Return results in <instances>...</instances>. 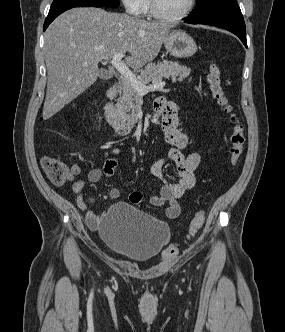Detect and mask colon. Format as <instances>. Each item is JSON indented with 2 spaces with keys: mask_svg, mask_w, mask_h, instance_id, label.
I'll return each instance as SVG.
<instances>
[{
  "mask_svg": "<svg viewBox=\"0 0 285 332\" xmlns=\"http://www.w3.org/2000/svg\"><path fill=\"white\" fill-rule=\"evenodd\" d=\"M207 83L211 91L213 99L222 108L225 114L228 116L229 122L232 124V132L229 137V159L232 165H236L241 159L245 145V133L243 125L234 112L233 106L224 90L221 70L217 63L212 62L209 66L207 73ZM42 168L46 173L49 180L55 185H63L72 178V173L68 165L61 160L52 156H45L41 161ZM205 212L203 210L197 211L191 219L187 237L194 236L203 226L205 222ZM178 248L176 244L170 243L165 251L164 256L171 258L176 256Z\"/></svg>",
  "mask_w": 285,
  "mask_h": 332,
  "instance_id": "colon-1",
  "label": "colon"
}]
</instances>
